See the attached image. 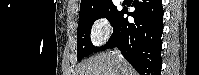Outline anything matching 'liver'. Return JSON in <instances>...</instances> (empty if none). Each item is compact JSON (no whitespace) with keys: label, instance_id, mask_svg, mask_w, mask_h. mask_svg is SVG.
Instances as JSON below:
<instances>
[{"label":"liver","instance_id":"obj_1","mask_svg":"<svg viewBox=\"0 0 199 75\" xmlns=\"http://www.w3.org/2000/svg\"><path fill=\"white\" fill-rule=\"evenodd\" d=\"M77 75H137L132 66L116 52H105L82 62Z\"/></svg>","mask_w":199,"mask_h":75}]
</instances>
